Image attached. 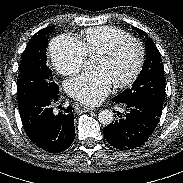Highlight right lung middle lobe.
I'll return each instance as SVG.
<instances>
[{
	"mask_svg": "<svg viewBox=\"0 0 183 183\" xmlns=\"http://www.w3.org/2000/svg\"><path fill=\"white\" fill-rule=\"evenodd\" d=\"M55 26L38 31L29 41L18 68L17 99L24 102L32 95L54 96L59 92L46 64L48 35Z\"/></svg>",
	"mask_w": 183,
	"mask_h": 183,
	"instance_id": "dd1d6c3e",
	"label": "right lung middle lobe"
}]
</instances>
